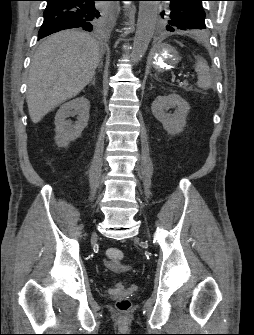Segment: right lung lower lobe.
Returning a JSON list of instances; mask_svg holds the SVG:
<instances>
[{"label": "right lung lower lobe", "mask_w": 254, "mask_h": 335, "mask_svg": "<svg viewBox=\"0 0 254 335\" xmlns=\"http://www.w3.org/2000/svg\"><path fill=\"white\" fill-rule=\"evenodd\" d=\"M44 22L39 30L38 38L69 28H83L91 31L95 26L98 9L95 1L99 0H46Z\"/></svg>", "instance_id": "obj_1"}]
</instances>
